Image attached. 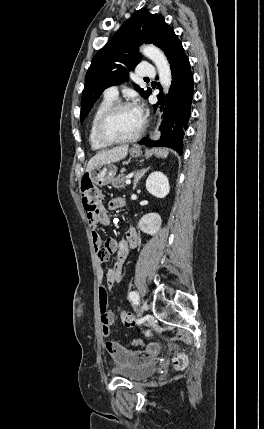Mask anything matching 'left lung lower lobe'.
<instances>
[{"mask_svg":"<svg viewBox=\"0 0 264 429\" xmlns=\"http://www.w3.org/2000/svg\"><path fill=\"white\" fill-rule=\"evenodd\" d=\"M161 49L169 59L173 76L167 100L163 99L162 93L158 95L160 102L164 100L165 104L163 122L160 126L161 139L151 141L145 138L139 144L170 147L182 155L183 136L188 127V120L191 114L190 110L194 92L193 75L182 43L175 35L173 29L167 33ZM156 107L157 105H154L155 109ZM161 107L163 108V104Z\"/></svg>","mask_w":264,"mask_h":429,"instance_id":"0a47b994","label":"left lung lower lobe"}]
</instances>
